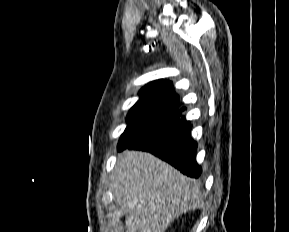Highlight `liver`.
<instances>
[{
  "label": "liver",
  "instance_id": "6515ba94",
  "mask_svg": "<svg viewBox=\"0 0 289 232\" xmlns=\"http://www.w3.org/2000/svg\"><path fill=\"white\" fill-rule=\"evenodd\" d=\"M112 180L114 199L126 215L127 232H165L202 200L194 180L144 151L119 154Z\"/></svg>",
  "mask_w": 289,
  "mask_h": 232
}]
</instances>
